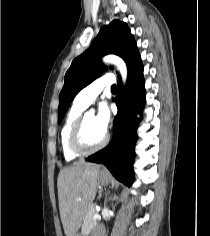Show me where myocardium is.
I'll return each mask as SVG.
<instances>
[{"label": "myocardium", "instance_id": "myocardium-1", "mask_svg": "<svg viewBox=\"0 0 210 236\" xmlns=\"http://www.w3.org/2000/svg\"><path fill=\"white\" fill-rule=\"evenodd\" d=\"M89 113H82L73 123L69 134V148L79 155H86L102 149L108 142L109 135L105 132L103 139L96 145H88L84 139V125Z\"/></svg>", "mask_w": 210, "mask_h": 236}]
</instances>
